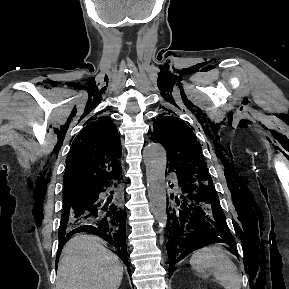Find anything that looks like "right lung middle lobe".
Returning a JSON list of instances; mask_svg holds the SVG:
<instances>
[{
	"mask_svg": "<svg viewBox=\"0 0 289 289\" xmlns=\"http://www.w3.org/2000/svg\"><path fill=\"white\" fill-rule=\"evenodd\" d=\"M85 197V194H78V195H73V196H64L63 201L64 205L63 208H69L77 203H79L83 198Z\"/></svg>",
	"mask_w": 289,
	"mask_h": 289,
	"instance_id": "1",
	"label": "right lung middle lobe"
}]
</instances>
